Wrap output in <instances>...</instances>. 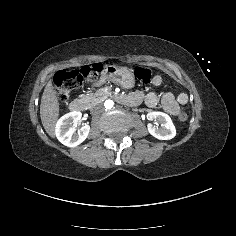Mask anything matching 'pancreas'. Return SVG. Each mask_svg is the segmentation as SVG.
I'll list each match as a JSON object with an SVG mask.
<instances>
[{"mask_svg":"<svg viewBox=\"0 0 236 236\" xmlns=\"http://www.w3.org/2000/svg\"><path fill=\"white\" fill-rule=\"evenodd\" d=\"M109 96H110L109 92L105 93L101 90H97L95 93L81 95L80 99L85 103L86 107L89 109L93 107L95 104L104 101ZM141 111H144V109H142Z\"/></svg>","mask_w":236,"mask_h":236,"instance_id":"1","label":"pancreas"}]
</instances>
